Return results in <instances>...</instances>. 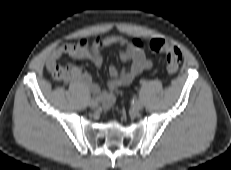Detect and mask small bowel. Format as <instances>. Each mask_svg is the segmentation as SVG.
<instances>
[{"instance_id":"small-bowel-1","label":"small bowel","mask_w":231,"mask_h":170,"mask_svg":"<svg viewBox=\"0 0 231 170\" xmlns=\"http://www.w3.org/2000/svg\"><path fill=\"white\" fill-rule=\"evenodd\" d=\"M112 45L120 47V58L123 62L129 63V66L122 69L110 66L108 69L110 79L107 81L106 89H101L87 72L80 71L72 77L73 82L85 86L100 99L104 106L110 107L114 103V91L118 87L129 85L138 75L153 65L152 59L145 54L143 43L139 39L128 40L121 35H110L97 37L91 43L85 39H80L76 43H65L52 51L46 65L51 69L62 56L69 55L76 59L89 60L96 67H101L103 63L101 49Z\"/></svg>"}]
</instances>
